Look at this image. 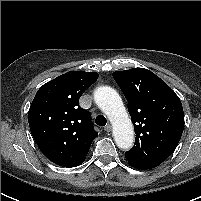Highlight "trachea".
Segmentation results:
<instances>
[{
  "label": "trachea",
  "mask_w": 201,
  "mask_h": 201,
  "mask_svg": "<svg viewBox=\"0 0 201 201\" xmlns=\"http://www.w3.org/2000/svg\"><path fill=\"white\" fill-rule=\"evenodd\" d=\"M95 122H96V124L99 125V126H105L106 123H107V120H106L105 116H103V115H98V116L96 117V119H95Z\"/></svg>",
  "instance_id": "trachea-1"
}]
</instances>
